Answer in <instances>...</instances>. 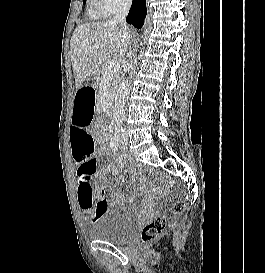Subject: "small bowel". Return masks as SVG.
Wrapping results in <instances>:
<instances>
[{"label": "small bowel", "instance_id": "1", "mask_svg": "<svg viewBox=\"0 0 265 273\" xmlns=\"http://www.w3.org/2000/svg\"><path fill=\"white\" fill-rule=\"evenodd\" d=\"M95 95V91L80 90L77 92L72 117L73 124L70 128L72 158L76 167L78 203L87 221H94L111 204L121 201L119 197L113 201L107 200V179L109 176L118 175L120 166L109 164L97 169L96 154L106 155L108 152L104 146L97 150L86 130L89 128V123L93 122L92 115L95 106V99L89 96ZM95 180L96 183L93 186L91 182Z\"/></svg>", "mask_w": 265, "mask_h": 273}]
</instances>
